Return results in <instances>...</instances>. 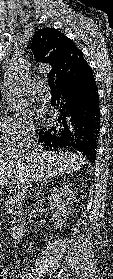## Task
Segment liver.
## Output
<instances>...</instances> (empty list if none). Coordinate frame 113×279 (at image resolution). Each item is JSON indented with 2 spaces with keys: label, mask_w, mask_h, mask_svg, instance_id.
Masks as SVG:
<instances>
[{
  "label": "liver",
  "mask_w": 113,
  "mask_h": 279,
  "mask_svg": "<svg viewBox=\"0 0 113 279\" xmlns=\"http://www.w3.org/2000/svg\"><path fill=\"white\" fill-rule=\"evenodd\" d=\"M86 163L81 154L6 147L0 150V190L14 182L27 187L34 181L42 183L56 175L72 174Z\"/></svg>",
  "instance_id": "1"
}]
</instances>
